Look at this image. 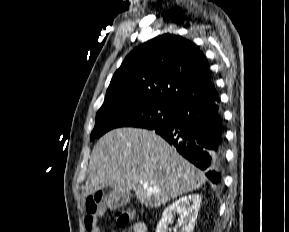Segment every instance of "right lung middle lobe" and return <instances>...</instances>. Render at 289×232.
<instances>
[{
    "instance_id": "right-lung-middle-lobe-1",
    "label": "right lung middle lobe",
    "mask_w": 289,
    "mask_h": 232,
    "mask_svg": "<svg viewBox=\"0 0 289 232\" xmlns=\"http://www.w3.org/2000/svg\"><path fill=\"white\" fill-rule=\"evenodd\" d=\"M177 108L141 96L106 98L96 115L90 140L117 127L154 129L175 118Z\"/></svg>"
}]
</instances>
